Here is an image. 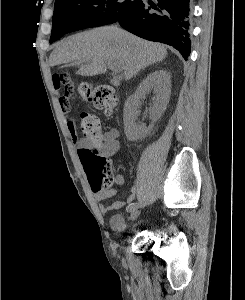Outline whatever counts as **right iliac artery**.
<instances>
[{"instance_id":"1","label":"right iliac artery","mask_w":245,"mask_h":300,"mask_svg":"<svg viewBox=\"0 0 245 300\" xmlns=\"http://www.w3.org/2000/svg\"><path fill=\"white\" fill-rule=\"evenodd\" d=\"M137 205H138V203H131V204L128 206V211L131 212Z\"/></svg>"}]
</instances>
